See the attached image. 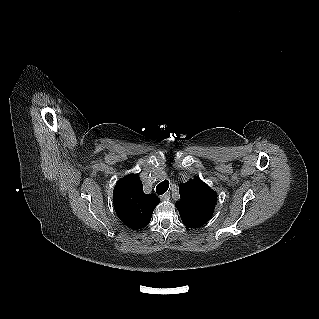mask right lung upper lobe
I'll return each instance as SVG.
<instances>
[{
	"mask_svg": "<svg viewBox=\"0 0 319 319\" xmlns=\"http://www.w3.org/2000/svg\"><path fill=\"white\" fill-rule=\"evenodd\" d=\"M114 208L122 222L133 230L142 229L151 220L159 198L143 192L142 182L137 174L120 179L114 188Z\"/></svg>",
	"mask_w": 319,
	"mask_h": 319,
	"instance_id": "right-lung-upper-lobe-1",
	"label": "right lung upper lobe"
}]
</instances>
